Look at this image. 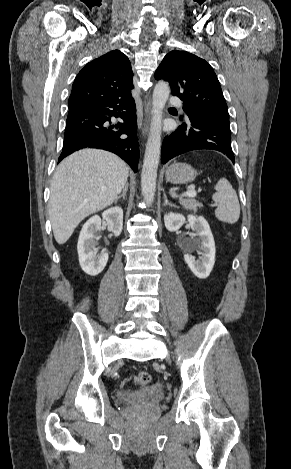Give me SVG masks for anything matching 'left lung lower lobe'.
<instances>
[{
    "label": "left lung lower lobe",
    "instance_id": "left-lung-lower-lobe-1",
    "mask_svg": "<svg viewBox=\"0 0 291 469\" xmlns=\"http://www.w3.org/2000/svg\"><path fill=\"white\" fill-rule=\"evenodd\" d=\"M178 129L165 137L162 163L182 153L196 149H213L227 155L234 162L229 122L189 111L180 120Z\"/></svg>",
    "mask_w": 291,
    "mask_h": 469
}]
</instances>
